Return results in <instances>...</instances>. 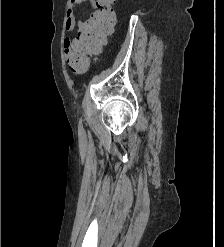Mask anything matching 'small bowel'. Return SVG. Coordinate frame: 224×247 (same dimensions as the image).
<instances>
[{
    "instance_id": "obj_1",
    "label": "small bowel",
    "mask_w": 224,
    "mask_h": 247,
    "mask_svg": "<svg viewBox=\"0 0 224 247\" xmlns=\"http://www.w3.org/2000/svg\"><path fill=\"white\" fill-rule=\"evenodd\" d=\"M89 3L93 8H96L97 3L95 0H70L69 7L66 12L65 17V28L67 31H73L76 27L78 31H80L85 22L78 21L76 19V8L85 4ZM64 47L66 49V53L68 55L69 63L72 62L74 57L78 54V42L77 38H71L66 36L64 38Z\"/></svg>"
}]
</instances>
